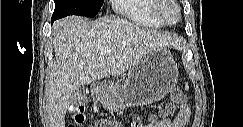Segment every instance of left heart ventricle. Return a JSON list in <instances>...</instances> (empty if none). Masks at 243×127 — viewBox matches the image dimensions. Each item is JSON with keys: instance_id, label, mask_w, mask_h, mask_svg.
I'll use <instances>...</instances> for the list:
<instances>
[{"instance_id": "b2bd125f", "label": "left heart ventricle", "mask_w": 243, "mask_h": 127, "mask_svg": "<svg viewBox=\"0 0 243 127\" xmlns=\"http://www.w3.org/2000/svg\"><path fill=\"white\" fill-rule=\"evenodd\" d=\"M165 15L170 21H175L178 17V11L175 6L168 5L165 8Z\"/></svg>"}]
</instances>
